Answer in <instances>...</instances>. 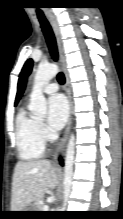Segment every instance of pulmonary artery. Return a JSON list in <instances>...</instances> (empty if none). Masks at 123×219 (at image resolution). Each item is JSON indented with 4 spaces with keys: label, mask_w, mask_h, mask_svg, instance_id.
<instances>
[{
    "label": "pulmonary artery",
    "mask_w": 123,
    "mask_h": 219,
    "mask_svg": "<svg viewBox=\"0 0 123 219\" xmlns=\"http://www.w3.org/2000/svg\"><path fill=\"white\" fill-rule=\"evenodd\" d=\"M58 89H59L58 84H56V83H49V84L44 86L43 91L46 94H53V93L57 92Z\"/></svg>",
    "instance_id": "obj_1"
}]
</instances>
